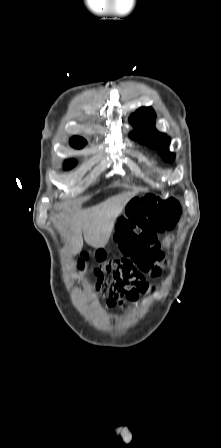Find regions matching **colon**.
<instances>
[{"label": "colon", "mask_w": 221, "mask_h": 448, "mask_svg": "<svg viewBox=\"0 0 221 448\" xmlns=\"http://www.w3.org/2000/svg\"><path fill=\"white\" fill-rule=\"evenodd\" d=\"M146 214V220L140 213ZM181 215V206L174 198H160L146 195L134 201L128 208V216L121 217L116 226V239L127 243L129 255L126 259L108 257L100 250L96 253L98 266L95 268L97 286L104 290L126 292L129 299H135L147 289L142 273L153 277L161 275L167 261L156 239L157 233L172 229ZM88 259L87 254L79 260V267Z\"/></svg>", "instance_id": "1"}]
</instances>
